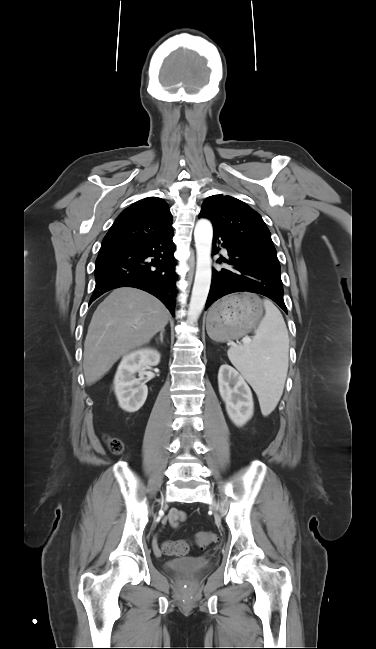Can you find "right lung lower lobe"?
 Masks as SVG:
<instances>
[{
  "mask_svg": "<svg viewBox=\"0 0 376 649\" xmlns=\"http://www.w3.org/2000/svg\"><path fill=\"white\" fill-rule=\"evenodd\" d=\"M173 235L172 231L125 248L100 252L95 267L96 286L89 305L109 290L129 286L156 296L175 316L176 262ZM148 257L153 259L149 261Z\"/></svg>",
  "mask_w": 376,
  "mask_h": 649,
  "instance_id": "right-lung-lower-lobe-1",
  "label": "right lung lower lobe"
}]
</instances>
